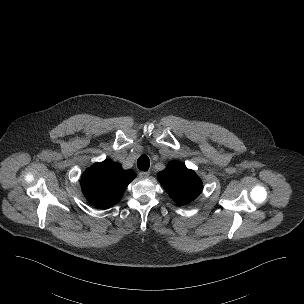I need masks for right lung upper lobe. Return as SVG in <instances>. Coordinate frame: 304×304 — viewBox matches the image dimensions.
Returning a JSON list of instances; mask_svg holds the SVG:
<instances>
[{
	"label": "right lung upper lobe",
	"mask_w": 304,
	"mask_h": 304,
	"mask_svg": "<svg viewBox=\"0 0 304 304\" xmlns=\"http://www.w3.org/2000/svg\"><path fill=\"white\" fill-rule=\"evenodd\" d=\"M135 177L133 171H123L119 164L110 160L95 163L82 176V192L91 204L109 208L122 198Z\"/></svg>",
	"instance_id": "obj_1"
}]
</instances>
